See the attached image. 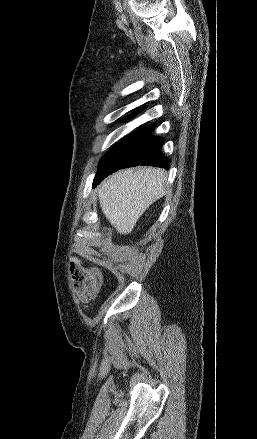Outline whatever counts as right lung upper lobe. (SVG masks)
<instances>
[{"mask_svg": "<svg viewBox=\"0 0 257 439\" xmlns=\"http://www.w3.org/2000/svg\"><path fill=\"white\" fill-rule=\"evenodd\" d=\"M136 114H137V113H133V114L131 115V117H134V116H136Z\"/></svg>", "mask_w": 257, "mask_h": 439, "instance_id": "cb5924a9", "label": "right lung upper lobe"}]
</instances>
